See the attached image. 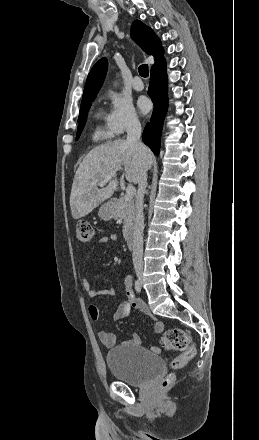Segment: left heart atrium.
I'll use <instances>...</instances> for the list:
<instances>
[{"label": "left heart atrium", "instance_id": "1", "mask_svg": "<svg viewBox=\"0 0 259 440\" xmlns=\"http://www.w3.org/2000/svg\"><path fill=\"white\" fill-rule=\"evenodd\" d=\"M137 105H138L139 110L142 113L148 112L150 107H151V104H150L149 100L146 97H144V96L139 97V99L137 101Z\"/></svg>", "mask_w": 259, "mask_h": 440}]
</instances>
